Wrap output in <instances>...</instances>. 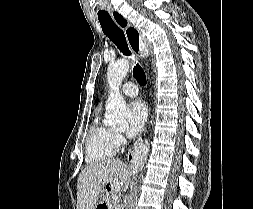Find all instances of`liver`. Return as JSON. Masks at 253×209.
<instances>
[{
	"mask_svg": "<svg viewBox=\"0 0 253 209\" xmlns=\"http://www.w3.org/2000/svg\"><path fill=\"white\" fill-rule=\"evenodd\" d=\"M131 172L119 159H108L91 163L79 174L77 182V209H95L106 184L119 192L127 188Z\"/></svg>",
	"mask_w": 253,
	"mask_h": 209,
	"instance_id": "1",
	"label": "liver"
}]
</instances>
